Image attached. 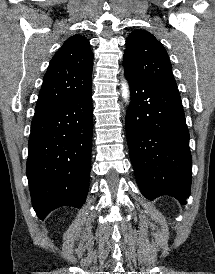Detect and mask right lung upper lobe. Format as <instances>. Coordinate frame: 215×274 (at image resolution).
<instances>
[{
	"label": "right lung upper lobe",
	"instance_id": "cb5924a9",
	"mask_svg": "<svg viewBox=\"0 0 215 274\" xmlns=\"http://www.w3.org/2000/svg\"><path fill=\"white\" fill-rule=\"evenodd\" d=\"M93 53L81 35L68 38L52 58L44 75L35 113L52 108L92 84Z\"/></svg>",
	"mask_w": 215,
	"mask_h": 274
}]
</instances>
